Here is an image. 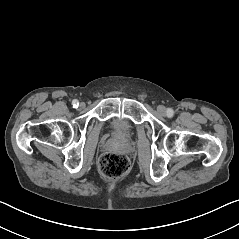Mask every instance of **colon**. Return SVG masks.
<instances>
[{
    "instance_id": "5ec220e1",
    "label": "colon",
    "mask_w": 239,
    "mask_h": 239,
    "mask_svg": "<svg viewBox=\"0 0 239 239\" xmlns=\"http://www.w3.org/2000/svg\"><path fill=\"white\" fill-rule=\"evenodd\" d=\"M130 167L129 159L122 153L109 152L102 156L99 168L108 178H118L127 173Z\"/></svg>"
}]
</instances>
